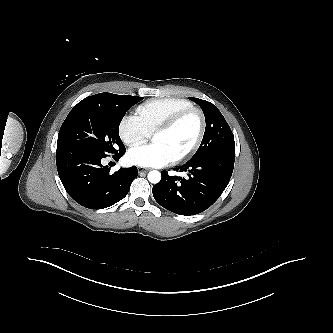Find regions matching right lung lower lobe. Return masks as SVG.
<instances>
[{"instance_id":"1","label":"right lung lower lobe","mask_w":333,"mask_h":333,"mask_svg":"<svg viewBox=\"0 0 333 333\" xmlns=\"http://www.w3.org/2000/svg\"><path fill=\"white\" fill-rule=\"evenodd\" d=\"M124 152L114 156L118 160ZM103 156L82 149H57L59 177L68 194L89 209H103L122 200L138 176L135 166L110 173Z\"/></svg>"}]
</instances>
